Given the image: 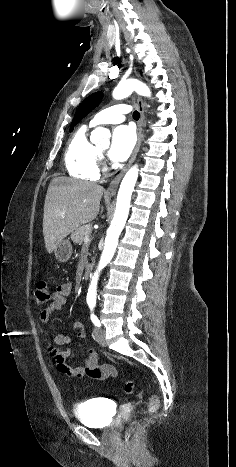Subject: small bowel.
Instances as JSON below:
<instances>
[{"mask_svg":"<svg viewBox=\"0 0 236 467\" xmlns=\"http://www.w3.org/2000/svg\"><path fill=\"white\" fill-rule=\"evenodd\" d=\"M72 292L71 282L60 284L51 296V303L40 312V320L47 323L51 314L54 311L60 310L66 304V298ZM73 331L77 332L78 339L86 338V331L82 322H74L71 326ZM71 337L68 333H59L55 335L49 342V353L52 358L53 365L57 372L67 378H82L89 376L92 381L82 385L88 389L95 385L96 381L105 380L108 377L117 376L116 368L111 364H98L97 353L93 349L85 351V358L76 366H71L66 363V358L70 355V349H60L59 347L71 342ZM106 371V374H103Z\"/></svg>","mask_w":236,"mask_h":467,"instance_id":"small-bowel-1","label":"small bowel"}]
</instances>
